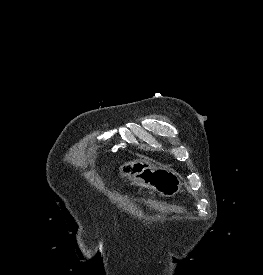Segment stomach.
Returning <instances> with one entry per match:
<instances>
[{
    "instance_id": "1",
    "label": "stomach",
    "mask_w": 263,
    "mask_h": 275,
    "mask_svg": "<svg viewBox=\"0 0 263 275\" xmlns=\"http://www.w3.org/2000/svg\"><path fill=\"white\" fill-rule=\"evenodd\" d=\"M119 171L133 183L153 189L163 197L175 196L181 190V180L176 172L156 168L143 160L126 162L120 166Z\"/></svg>"
}]
</instances>
